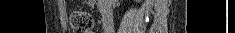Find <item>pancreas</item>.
Here are the masks:
<instances>
[{
  "label": "pancreas",
  "mask_w": 235,
  "mask_h": 33,
  "mask_svg": "<svg viewBox=\"0 0 235 33\" xmlns=\"http://www.w3.org/2000/svg\"><path fill=\"white\" fill-rule=\"evenodd\" d=\"M100 4L104 3V0H99Z\"/></svg>",
  "instance_id": "1"
}]
</instances>
